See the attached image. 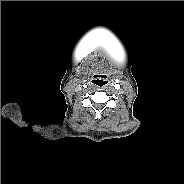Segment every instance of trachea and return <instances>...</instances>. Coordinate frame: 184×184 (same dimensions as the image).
<instances>
[{
	"label": "trachea",
	"mask_w": 184,
	"mask_h": 184,
	"mask_svg": "<svg viewBox=\"0 0 184 184\" xmlns=\"http://www.w3.org/2000/svg\"><path fill=\"white\" fill-rule=\"evenodd\" d=\"M92 83L97 87H104L107 84V81L104 79H95L92 80Z\"/></svg>",
	"instance_id": "3493384b"
}]
</instances>
